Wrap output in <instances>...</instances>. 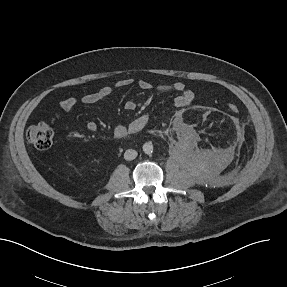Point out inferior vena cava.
Returning <instances> with one entry per match:
<instances>
[{"label":"inferior vena cava","instance_id":"602c4592","mask_svg":"<svg viewBox=\"0 0 287 287\" xmlns=\"http://www.w3.org/2000/svg\"><path fill=\"white\" fill-rule=\"evenodd\" d=\"M137 157V151L136 150H133V149H128L125 151L124 153V158L125 160H133Z\"/></svg>","mask_w":287,"mask_h":287}]
</instances>
